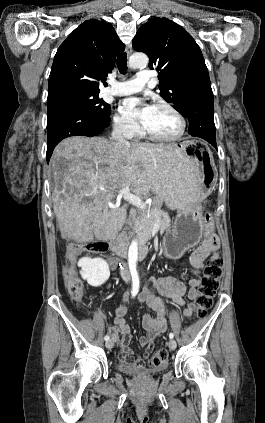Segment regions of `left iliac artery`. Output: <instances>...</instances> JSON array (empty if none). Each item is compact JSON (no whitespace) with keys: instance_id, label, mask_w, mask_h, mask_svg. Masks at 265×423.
Instances as JSON below:
<instances>
[{"instance_id":"44dca946","label":"left iliac artery","mask_w":265,"mask_h":423,"mask_svg":"<svg viewBox=\"0 0 265 423\" xmlns=\"http://www.w3.org/2000/svg\"><path fill=\"white\" fill-rule=\"evenodd\" d=\"M173 337H174V334L171 332V333L169 334V338H170V339H173Z\"/></svg>"}]
</instances>
